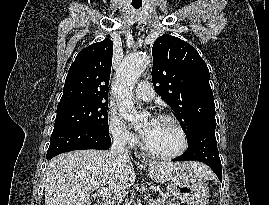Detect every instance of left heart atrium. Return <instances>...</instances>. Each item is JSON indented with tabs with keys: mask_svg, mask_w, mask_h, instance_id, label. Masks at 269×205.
Returning <instances> with one entry per match:
<instances>
[{
	"mask_svg": "<svg viewBox=\"0 0 269 205\" xmlns=\"http://www.w3.org/2000/svg\"><path fill=\"white\" fill-rule=\"evenodd\" d=\"M155 122H156V119L152 118L145 124V126L143 127V129L140 132L143 139H146L148 137Z\"/></svg>",
	"mask_w": 269,
	"mask_h": 205,
	"instance_id": "39dd6f15",
	"label": "left heart atrium"
}]
</instances>
